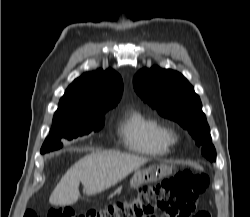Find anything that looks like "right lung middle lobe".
Segmentation results:
<instances>
[{
  "mask_svg": "<svg viewBox=\"0 0 250 217\" xmlns=\"http://www.w3.org/2000/svg\"><path fill=\"white\" fill-rule=\"evenodd\" d=\"M105 112L92 114L85 118L53 120L52 128L42 145L41 153L44 154L60 149L63 146L61 139L72 140L78 136L87 135L92 131H99L104 125Z\"/></svg>",
  "mask_w": 250,
  "mask_h": 217,
  "instance_id": "1",
  "label": "right lung middle lobe"
}]
</instances>
